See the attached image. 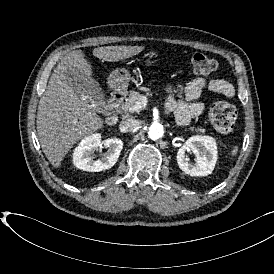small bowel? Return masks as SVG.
I'll list each match as a JSON object with an SVG mask.
<instances>
[{
  "label": "small bowel",
  "instance_id": "obj_1",
  "mask_svg": "<svg viewBox=\"0 0 274 274\" xmlns=\"http://www.w3.org/2000/svg\"><path fill=\"white\" fill-rule=\"evenodd\" d=\"M174 88L168 87V97L166 99V108L171 111L179 125H186L192 119L200 117L204 112V105L198 101L202 91L209 90L218 93L227 98L235 96V87L224 79L207 80L197 77L180 87L182 99H176L173 95Z\"/></svg>",
  "mask_w": 274,
  "mask_h": 274
}]
</instances>
